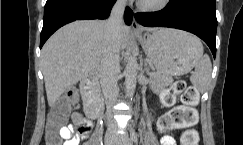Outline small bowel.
<instances>
[{"label":"small bowel","mask_w":243,"mask_h":145,"mask_svg":"<svg viewBox=\"0 0 243 145\" xmlns=\"http://www.w3.org/2000/svg\"><path fill=\"white\" fill-rule=\"evenodd\" d=\"M78 117H81V115L78 113H74L72 115L74 125H75V120ZM88 133H74L73 125L69 124L63 127L60 131V136L63 139L62 145H79L80 140L85 138L88 135ZM160 143L161 145H176L175 139L170 135L162 136Z\"/></svg>","instance_id":"obj_1"}]
</instances>
